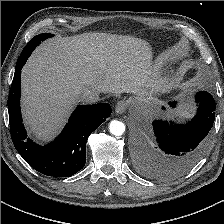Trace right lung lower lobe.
I'll return each mask as SVG.
<instances>
[{"label":"right lung lower lobe","mask_w":224,"mask_h":224,"mask_svg":"<svg viewBox=\"0 0 224 224\" xmlns=\"http://www.w3.org/2000/svg\"><path fill=\"white\" fill-rule=\"evenodd\" d=\"M34 49L26 46L16 63L8 97L11 138L16 150L35 170L47 176L69 177L84 167L87 139L112 110L108 103L79 105L53 142L46 146L35 144L27 137L20 109L21 70Z\"/></svg>","instance_id":"98d812e1"}]
</instances>
